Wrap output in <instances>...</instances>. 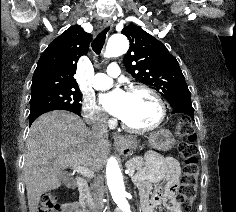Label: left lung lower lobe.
Masks as SVG:
<instances>
[{
	"mask_svg": "<svg viewBox=\"0 0 236 212\" xmlns=\"http://www.w3.org/2000/svg\"><path fill=\"white\" fill-rule=\"evenodd\" d=\"M170 105L173 108L172 113H184L188 116H190L192 119H194L193 116V107L191 103L190 96H183L175 98L172 102H170Z\"/></svg>",
	"mask_w": 236,
	"mask_h": 212,
	"instance_id": "0a47b994",
	"label": "left lung lower lobe"
}]
</instances>
